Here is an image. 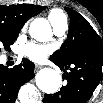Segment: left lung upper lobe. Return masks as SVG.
Listing matches in <instances>:
<instances>
[{"label":"left lung upper lobe","mask_w":103,"mask_h":103,"mask_svg":"<svg viewBox=\"0 0 103 103\" xmlns=\"http://www.w3.org/2000/svg\"><path fill=\"white\" fill-rule=\"evenodd\" d=\"M65 10L70 17L68 38L60 50L54 52L50 57V59L61 63H66L78 55L87 56L90 44H102L100 36L82 15L68 7Z\"/></svg>","instance_id":"5c2ea615"}]
</instances>
